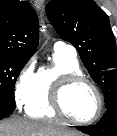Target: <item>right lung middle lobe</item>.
Instances as JSON below:
<instances>
[{"mask_svg":"<svg viewBox=\"0 0 117 136\" xmlns=\"http://www.w3.org/2000/svg\"><path fill=\"white\" fill-rule=\"evenodd\" d=\"M29 59L0 55V97L14 99V86Z\"/></svg>","mask_w":117,"mask_h":136,"instance_id":"1","label":"right lung middle lobe"}]
</instances>
